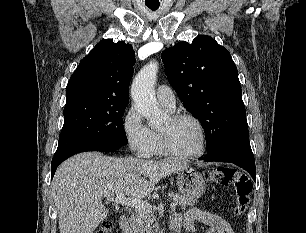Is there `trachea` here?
<instances>
[{
	"label": "trachea",
	"mask_w": 306,
	"mask_h": 233,
	"mask_svg": "<svg viewBox=\"0 0 306 233\" xmlns=\"http://www.w3.org/2000/svg\"><path fill=\"white\" fill-rule=\"evenodd\" d=\"M146 6L153 11H155L159 8V4H146Z\"/></svg>",
	"instance_id": "obj_1"
}]
</instances>
